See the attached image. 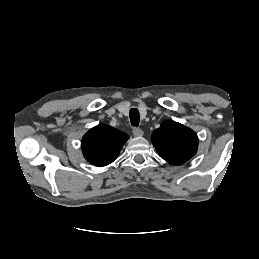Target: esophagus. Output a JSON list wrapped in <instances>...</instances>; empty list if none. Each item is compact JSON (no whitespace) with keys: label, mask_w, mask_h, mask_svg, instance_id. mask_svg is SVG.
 <instances>
[{"label":"esophagus","mask_w":259,"mask_h":259,"mask_svg":"<svg viewBox=\"0 0 259 259\" xmlns=\"http://www.w3.org/2000/svg\"><path fill=\"white\" fill-rule=\"evenodd\" d=\"M133 135L135 137H141L143 136V131L140 128L135 127L133 128Z\"/></svg>","instance_id":"34e87169"}]
</instances>
